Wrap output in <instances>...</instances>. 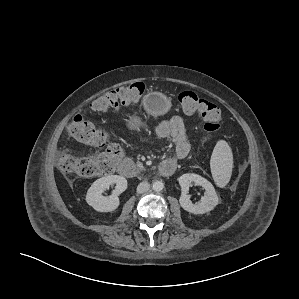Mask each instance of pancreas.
<instances>
[{"mask_svg": "<svg viewBox=\"0 0 299 299\" xmlns=\"http://www.w3.org/2000/svg\"><path fill=\"white\" fill-rule=\"evenodd\" d=\"M137 168H138V170H142L143 169V165L141 163H138L137 164Z\"/></svg>", "mask_w": 299, "mask_h": 299, "instance_id": "cf45deb5", "label": "pancreas"}]
</instances>
